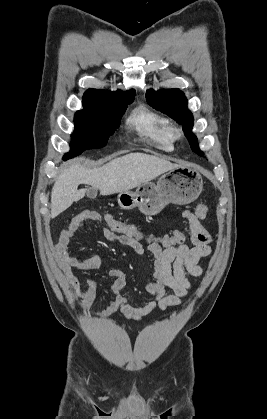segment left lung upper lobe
Wrapping results in <instances>:
<instances>
[{
  "mask_svg": "<svg viewBox=\"0 0 267 419\" xmlns=\"http://www.w3.org/2000/svg\"><path fill=\"white\" fill-rule=\"evenodd\" d=\"M146 100L150 106L167 114L181 124L192 151L200 156H204V153L199 149L197 137L192 133L194 119L192 113L187 109V99L183 92L179 89H163L159 91L149 89L146 92Z\"/></svg>",
  "mask_w": 267,
  "mask_h": 419,
  "instance_id": "obj_1",
  "label": "left lung upper lobe"
}]
</instances>
